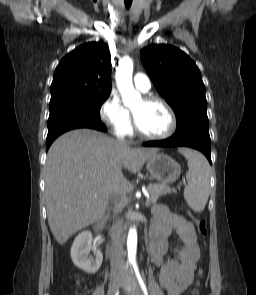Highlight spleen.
Returning <instances> with one entry per match:
<instances>
[{
    "instance_id": "1",
    "label": "spleen",
    "mask_w": 256,
    "mask_h": 295,
    "mask_svg": "<svg viewBox=\"0 0 256 295\" xmlns=\"http://www.w3.org/2000/svg\"><path fill=\"white\" fill-rule=\"evenodd\" d=\"M179 152L188 162L186 173L188 184L184 189V198L193 211L202 212L209 198L210 165L198 151L181 148Z\"/></svg>"
}]
</instances>
